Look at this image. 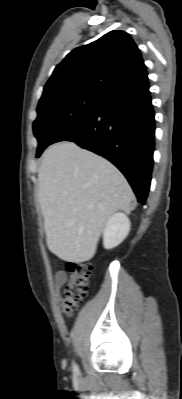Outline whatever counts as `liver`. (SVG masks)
Returning <instances> with one entry per match:
<instances>
[{
	"label": "liver",
	"mask_w": 182,
	"mask_h": 399,
	"mask_svg": "<svg viewBox=\"0 0 182 399\" xmlns=\"http://www.w3.org/2000/svg\"><path fill=\"white\" fill-rule=\"evenodd\" d=\"M38 181L47 247L66 262L93 258L107 220L132 210L134 194L120 171L73 142L47 149Z\"/></svg>",
	"instance_id": "liver-1"
}]
</instances>
